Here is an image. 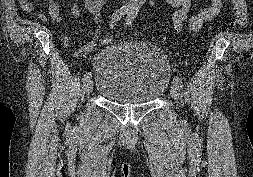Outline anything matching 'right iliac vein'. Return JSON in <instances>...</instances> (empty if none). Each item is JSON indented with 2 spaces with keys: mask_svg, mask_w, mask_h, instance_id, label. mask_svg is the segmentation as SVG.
<instances>
[{
  "mask_svg": "<svg viewBox=\"0 0 253 177\" xmlns=\"http://www.w3.org/2000/svg\"><path fill=\"white\" fill-rule=\"evenodd\" d=\"M93 87H94L93 81L91 79L88 80L85 84V92L87 95H89L93 91Z\"/></svg>",
  "mask_w": 253,
  "mask_h": 177,
  "instance_id": "right-iliac-vein-1",
  "label": "right iliac vein"
}]
</instances>
